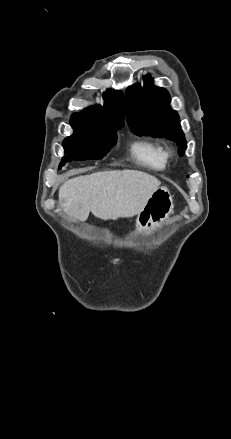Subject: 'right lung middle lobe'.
Here are the masks:
<instances>
[{"label": "right lung middle lobe", "mask_w": 231, "mask_h": 439, "mask_svg": "<svg viewBox=\"0 0 231 439\" xmlns=\"http://www.w3.org/2000/svg\"><path fill=\"white\" fill-rule=\"evenodd\" d=\"M74 133L65 138L63 147L65 156L62 158L59 169L73 160H96L102 158L115 145L117 131L87 120L71 119Z\"/></svg>", "instance_id": "1"}]
</instances>
